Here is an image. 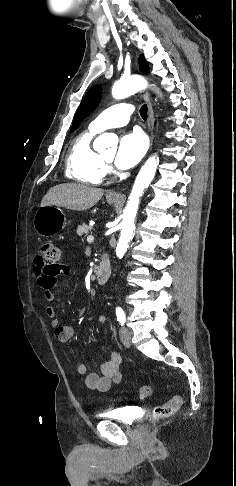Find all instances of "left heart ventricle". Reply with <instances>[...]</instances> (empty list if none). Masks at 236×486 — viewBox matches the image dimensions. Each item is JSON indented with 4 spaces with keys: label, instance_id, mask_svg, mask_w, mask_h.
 Here are the masks:
<instances>
[{
    "label": "left heart ventricle",
    "instance_id": "1",
    "mask_svg": "<svg viewBox=\"0 0 236 486\" xmlns=\"http://www.w3.org/2000/svg\"><path fill=\"white\" fill-rule=\"evenodd\" d=\"M103 157H104L106 160H109V161H110V160L112 159V157H113V153H107V154H105Z\"/></svg>",
    "mask_w": 236,
    "mask_h": 486
}]
</instances>
